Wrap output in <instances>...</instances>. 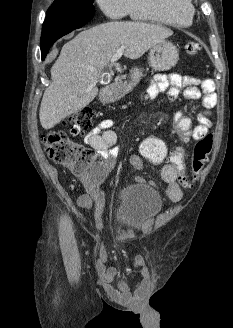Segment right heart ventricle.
Listing matches in <instances>:
<instances>
[{
  "label": "right heart ventricle",
  "instance_id": "e07e8e85",
  "mask_svg": "<svg viewBox=\"0 0 233 328\" xmlns=\"http://www.w3.org/2000/svg\"><path fill=\"white\" fill-rule=\"evenodd\" d=\"M128 14L134 20L188 27L194 9L191 0H129Z\"/></svg>",
  "mask_w": 233,
  "mask_h": 328
}]
</instances>
